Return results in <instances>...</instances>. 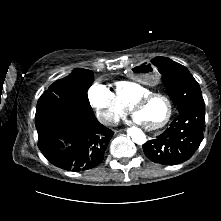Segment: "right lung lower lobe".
<instances>
[{
	"mask_svg": "<svg viewBox=\"0 0 221 221\" xmlns=\"http://www.w3.org/2000/svg\"><path fill=\"white\" fill-rule=\"evenodd\" d=\"M113 132L96 118H66L60 124L38 132L39 149L53 165L68 171H84L96 167Z\"/></svg>",
	"mask_w": 221,
	"mask_h": 221,
	"instance_id": "obj_1",
	"label": "right lung lower lobe"
}]
</instances>
